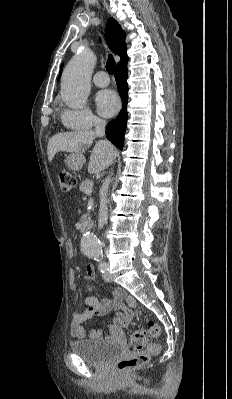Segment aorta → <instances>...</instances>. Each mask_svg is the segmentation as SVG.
Masks as SVG:
<instances>
[{
	"instance_id": "obj_1",
	"label": "aorta",
	"mask_w": 232,
	"mask_h": 399,
	"mask_svg": "<svg viewBox=\"0 0 232 399\" xmlns=\"http://www.w3.org/2000/svg\"><path fill=\"white\" fill-rule=\"evenodd\" d=\"M95 63L93 52L83 49L67 64L61 80V96L68 107L80 109L86 104ZM80 249L89 257H98L102 253L101 243L93 233H86L82 237Z\"/></svg>"
}]
</instances>
